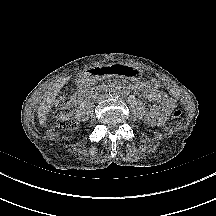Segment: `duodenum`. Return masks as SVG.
<instances>
[{
    "mask_svg": "<svg viewBox=\"0 0 216 216\" xmlns=\"http://www.w3.org/2000/svg\"><path fill=\"white\" fill-rule=\"evenodd\" d=\"M101 69L102 68H96L90 71L89 75L91 76H101ZM109 87L108 86H102L96 90H92V91H82V92H78L73 96V102L74 103H80L83 102L85 100L88 99H92L97 97L100 94H103L106 90H108Z\"/></svg>",
    "mask_w": 216,
    "mask_h": 216,
    "instance_id": "duodenum-1",
    "label": "duodenum"
}]
</instances>
